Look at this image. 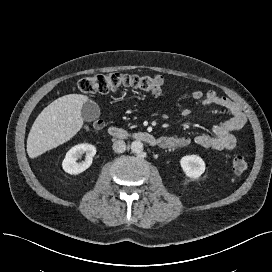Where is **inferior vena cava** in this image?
Instances as JSON below:
<instances>
[{
  "label": "inferior vena cava",
  "mask_w": 272,
  "mask_h": 272,
  "mask_svg": "<svg viewBox=\"0 0 272 272\" xmlns=\"http://www.w3.org/2000/svg\"><path fill=\"white\" fill-rule=\"evenodd\" d=\"M113 150L116 152V153H123L125 152L126 150V144L123 140H116L114 143H113Z\"/></svg>",
  "instance_id": "602c4592"
}]
</instances>
